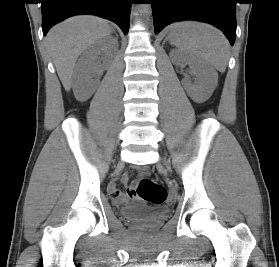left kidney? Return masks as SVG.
<instances>
[{"label":"left kidney","mask_w":279,"mask_h":267,"mask_svg":"<svg viewBox=\"0 0 279 267\" xmlns=\"http://www.w3.org/2000/svg\"><path fill=\"white\" fill-rule=\"evenodd\" d=\"M173 62L180 66L184 63L190 66L197 78L194 83L185 78L182 80V85L194 102H205L216 87L217 72L203 60L188 53H177L173 57Z\"/></svg>","instance_id":"5707ae66"}]
</instances>
